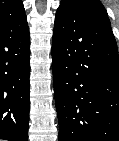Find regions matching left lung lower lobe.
Listing matches in <instances>:
<instances>
[{"label":"left lung lower lobe","mask_w":119,"mask_h":141,"mask_svg":"<svg viewBox=\"0 0 119 141\" xmlns=\"http://www.w3.org/2000/svg\"><path fill=\"white\" fill-rule=\"evenodd\" d=\"M59 141H119V55L107 16L58 9L52 40Z\"/></svg>","instance_id":"0a47b994"}]
</instances>
